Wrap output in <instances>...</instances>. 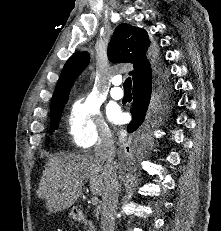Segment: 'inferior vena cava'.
Instances as JSON below:
<instances>
[{
  "mask_svg": "<svg viewBox=\"0 0 221 231\" xmlns=\"http://www.w3.org/2000/svg\"><path fill=\"white\" fill-rule=\"evenodd\" d=\"M94 152L95 158L102 167L105 176L101 203V230L114 231L119 183L116 174V163L114 161V140L110 130L105 129L100 133Z\"/></svg>",
  "mask_w": 221,
  "mask_h": 231,
  "instance_id": "inferior-vena-cava-1",
  "label": "inferior vena cava"
}]
</instances>
